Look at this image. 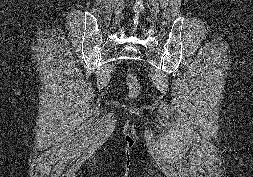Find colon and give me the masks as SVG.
I'll list each match as a JSON object with an SVG mask.
<instances>
[{
    "instance_id": "obj_1",
    "label": "colon",
    "mask_w": 253,
    "mask_h": 177,
    "mask_svg": "<svg viewBox=\"0 0 253 177\" xmlns=\"http://www.w3.org/2000/svg\"><path fill=\"white\" fill-rule=\"evenodd\" d=\"M126 83L128 86L129 95L132 97L137 96L140 90V85L136 76L133 75L132 73H128L126 75Z\"/></svg>"
}]
</instances>
